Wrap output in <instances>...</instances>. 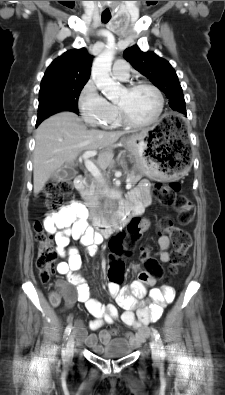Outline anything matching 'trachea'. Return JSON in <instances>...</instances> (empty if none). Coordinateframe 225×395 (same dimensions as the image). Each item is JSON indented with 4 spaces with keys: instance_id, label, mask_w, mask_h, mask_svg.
Segmentation results:
<instances>
[{
    "instance_id": "1",
    "label": "trachea",
    "mask_w": 225,
    "mask_h": 395,
    "mask_svg": "<svg viewBox=\"0 0 225 395\" xmlns=\"http://www.w3.org/2000/svg\"><path fill=\"white\" fill-rule=\"evenodd\" d=\"M110 19H111V15L102 14V16H101V20L103 23L109 22Z\"/></svg>"
}]
</instances>
